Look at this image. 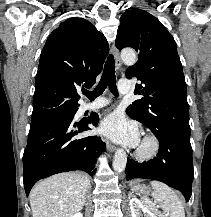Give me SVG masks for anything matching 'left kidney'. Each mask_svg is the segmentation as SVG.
Returning <instances> with one entry per match:
<instances>
[{"label":"left kidney","instance_id":"obj_1","mask_svg":"<svg viewBox=\"0 0 211 217\" xmlns=\"http://www.w3.org/2000/svg\"><path fill=\"white\" fill-rule=\"evenodd\" d=\"M129 205L132 217H140L142 215L141 212L144 213L145 217H157L139 199L135 197L130 199Z\"/></svg>","mask_w":211,"mask_h":217}]
</instances>
